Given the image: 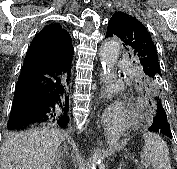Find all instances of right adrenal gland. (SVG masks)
I'll return each instance as SVG.
<instances>
[{
  "label": "right adrenal gland",
  "mask_w": 177,
  "mask_h": 169,
  "mask_svg": "<svg viewBox=\"0 0 177 169\" xmlns=\"http://www.w3.org/2000/svg\"><path fill=\"white\" fill-rule=\"evenodd\" d=\"M56 154H57V158H56L55 167H56V169H62V167H61V163H62L61 156H62V154H61L60 150H58Z\"/></svg>",
  "instance_id": "1"
}]
</instances>
